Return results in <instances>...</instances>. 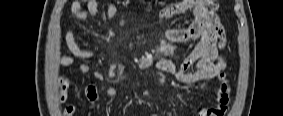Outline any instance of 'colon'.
Here are the masks:
<instances>
[{
    "mask_svg": "<svg viewBox=\"0 0 283 116\" xmlns=\"http://www.w3.org/2000/svg\"><path fill=\"white\" fill-rule=\"evenodd\" d=\"M227 103L222 104L218 109H217V115H222L225 110L227 109Z\"/></svg>",
    "mask_w": 283,
    "mask_h": 116,
    "instance_id": "1",
    "label": "colon"
}]
</instances>
